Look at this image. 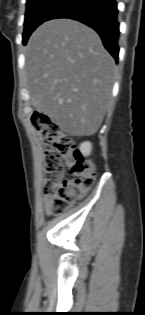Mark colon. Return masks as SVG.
<instances>
[{
	"label": "colon",
	"mask_w": 145,
	"mask_h": 315,
	"mask_svg": "<svg viewBox=\"0 0 145 315\" xmlns=\"http://www.w3.org/2000/svg\"><path fill=\"white\" fill-rule=\"evenodd\" d=\"M34 128L45 143L43 191L51 198L54 212L68 209L92 184L95 165L85 159L73 138L46 115H34ZM69 173L74 179L67 180Z\"/></svg>",
	"instance_id": "colon-1"
}]
</instances>
